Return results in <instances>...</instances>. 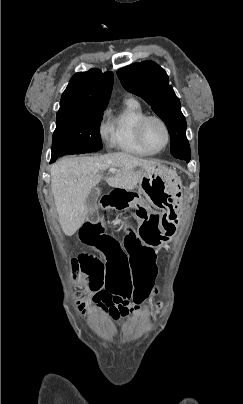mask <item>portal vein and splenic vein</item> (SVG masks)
I'll list each match as a JSON object with an SVG mask.
<instances>
[{
  "instance_id": "1",
  "label": "portal vein and splenic vein",
  "mask_w": 243,
  "mask_h": 404,
  "mask_svg": "<svg viewBox=\"0 0 243 404\" xmlns=\"http://www.w3.org/2000/svg\"><path fill=\"white\" fill-rule=\"evenodd\" d=\"M110 174H114V172H116V170H109Z\"/></svg>"
}]
</instances>
